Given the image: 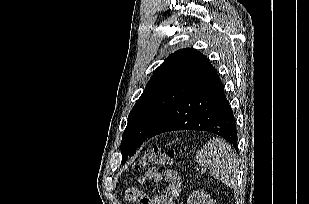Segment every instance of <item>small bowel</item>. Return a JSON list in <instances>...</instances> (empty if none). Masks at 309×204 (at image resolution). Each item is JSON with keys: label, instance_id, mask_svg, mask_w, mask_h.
<instances>
[{"label": "small bowel", "instance_id": "c3829d8e", "mask_svg": "<svg viewBox=\"0 0 309 204\" xmlns=\"http://www.w3.org/2000/svg\"><path fill=\"white\" fill-rule=\"evenodd\" d=\"M149 180L155 182L165 181L167 183L165 192L148 198L138 187L132 186L126 189L125 195L127 199L137 202L140 199H145L143 204H176V199L181 191V180L176 171L151 167L139 177L138 183L142 185Z\"/></svg>", "mask_w": 309, "mask_h": 204}]
</instances>
